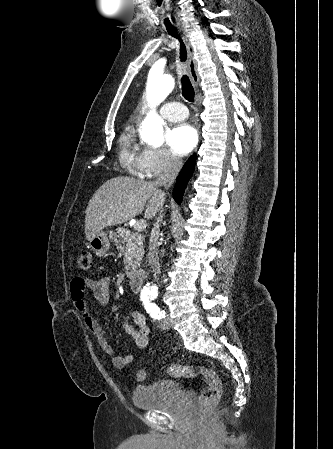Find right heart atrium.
Instances as JSON below:
<instances>
[{
	"label": "right heart atrium",
	"mask_w": 333,
	"mask_h": 449,
	"mask_svg": "<svg viewBox=\"0 0 333 449\" xmlns=\"http://www.w3.org/2000/svg\"><path fill=\"white\" fill-rule=\"evenodd\" d=\"M141 176L149 179L176 172L181 160L162 147H146L135 158Z\"/></svg>",
	"instance_id": "d8ad5b80"
}]
</instances>
